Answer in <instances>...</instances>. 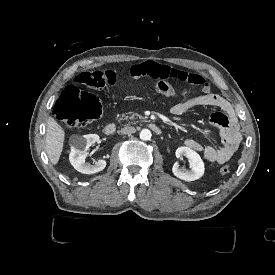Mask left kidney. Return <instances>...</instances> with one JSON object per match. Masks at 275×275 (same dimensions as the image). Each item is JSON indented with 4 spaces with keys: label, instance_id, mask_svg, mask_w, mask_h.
I'll return each instance as SVG.
<instances>
[{
    "label": "left kidney",
    "instance_id": "5707ae66",
    "mask_svg": "<svg viewBox=\"0 0 275 275\" xmlns=\"http://www.w3.org/2000/svg\"><path fill=\"white\" fill-rule=\"evenodd\" d=\"M176 156L180 157L181 155L186 156L189 160L193 162L192 170L187 172H182L179 170L178 165L176 163L172 166V173L177 178L186 181L191 182L200 179L204 173H205V164L200 155L192 150L189 147H179L176 150Z\"/></svg>",
    "mask_w": 275,
    "mask_h": 275
}]
</instances>
